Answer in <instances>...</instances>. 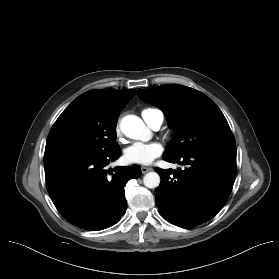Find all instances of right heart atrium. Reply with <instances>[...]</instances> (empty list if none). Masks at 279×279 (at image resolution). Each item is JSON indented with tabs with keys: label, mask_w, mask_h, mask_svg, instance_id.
Listing matches in <instances>:
<instances>
[{
	"label": "right heart atrium",
	"mask_w": 279,
	"mask_h": 279,
	"mask_svg": "<svg viewBox=\"0 0 279 279\" xmlns=\"http://www.w3.org/2000/svg\"><path fill=\"white\" fill-rule=\"evenodd\" d=\"M115 132H116L117 136L119 137L120 134H121V130H120V127H119V126L116 127Z\"/></svg>",
	"instance_id": "obj_1"
}]
</instances>
